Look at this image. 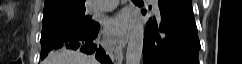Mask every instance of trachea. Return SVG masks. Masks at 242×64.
Wrapping results in <instances>:
<instances>
[{
  "label": "trachea",
  "mask_w": 242,
  "mask_h": 64,
  "mask_svg": "<svg viewBox=\"0 0 242 64\" xmlns=\"http://www.w3.org/2000/svg\"><path fill=\"white\" fill-rule=\"evenodd\" d=\"M134 2H140L141 0H133Z\"/></svg>",
  "instance_id": "trachea-1"
}]
</instances>
